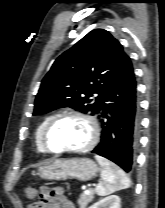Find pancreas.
<instances>
[{
  "mask_svg": "<svg viewBox=\"0 0 165 208\" xmlns=\"http://www.w3.org/2000/svg\"><path fill=\"white\" fill-rule=\"evenodd\" d=\"M94 193H95L94 190H90V193L88 195L85 193H82L80 195V198L77 201L80 208H86V206L93 200Z\"/></svg>",
  "mask_w": 165,
  "mask_h": 208,
  "instance_id": "pancreas-1",
  "label": "pancreas"
}]
</instances>
